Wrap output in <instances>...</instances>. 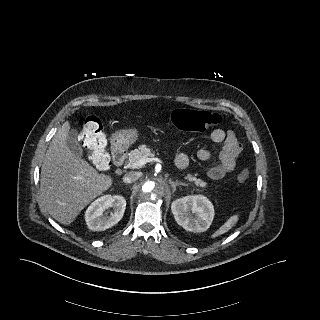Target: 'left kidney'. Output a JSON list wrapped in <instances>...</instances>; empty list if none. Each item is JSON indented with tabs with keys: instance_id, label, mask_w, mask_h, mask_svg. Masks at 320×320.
Segmentation results:
<instances>
[{
	"instance_id": "left-kidney-1",
	"label": "left kidney",
	"mask_w": 320,
	"mask_h": 320,
	"mask_svg": "<svg viewBox=\"0 0 320 320\" xmlns=\"http://www.w3.org/2000/svg\"><path fill=\"white\" fill-rule=\"evenodd\" d=\"M171 210L176 222L191 232L206 231L214 217L212 203L202 195L176 199L171 205Z\"/></svg>"
}]
</instances>
